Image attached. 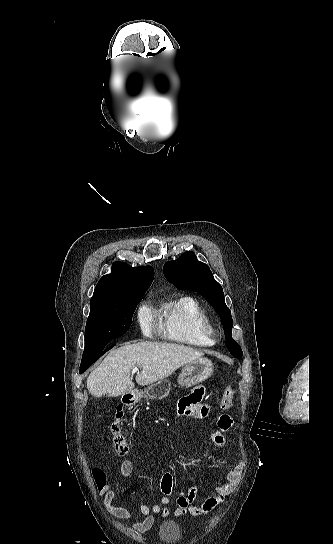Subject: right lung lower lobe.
Wrapping results in <instances>:
<instances>
[{"instance_id": "obj_1", "label": "right lung lower lobe", "mask_w": 333, "mask_h": 544, "mask_svg": "<svg viewBox=\"0 0 333 544\" xmlns=\"http://www.w3.org/2000/svg\"><path fill=\"white\" fill-rule=\"evenodd\" d=\"M95 361H96V360H95ZM95 361H93V362H91V363L85 365L84 367H81V368H80V371H79L80 374H82V373H83L89 366H91Z\"/></svg>"}]
</instances>
